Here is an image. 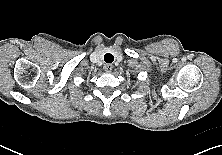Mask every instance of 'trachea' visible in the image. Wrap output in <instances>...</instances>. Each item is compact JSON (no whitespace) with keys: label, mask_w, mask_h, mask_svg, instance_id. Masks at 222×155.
Listing matches in <instances>:
<instances>
[{"label":"trachea","mask_w":222,"mask_h":155,"mask_svg":"<svg viewBox=\"0 0 222 155\" xmlns=\"http://www.w3.org/2000/svg\"><path fill=\"white\" fill-rule=\"evenodd\" d=\"M104 60L106 63H112L114 61V56L110 53L104 55Z\"/></svg>","instance_id":"trachea-1"}]
</instances>
